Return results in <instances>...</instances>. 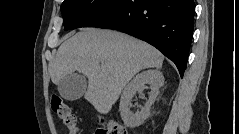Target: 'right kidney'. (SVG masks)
Returning a JSON list of instances; mask_svg holds the SVG:
<instances>
[{"instance_id": "1", "label": "right kidney", "mask_w": 239, "mask_h": 134, "mask_svg": "<svg viewBox=\"0 0 239 134\" xmlns=\"http://www.w3.org/2000/svg\"><path fill=\"white\" fill-rule=\"evenodd\" d=\"M164 83V76L160 70H146L137 74L124 88L120 99V114L127 127H137L141 125L150 114V108L155 102L160 87ZM149 84L151 92L145 106L140 111L133 113L130 111V104L134 95L138 92L142 94L145 85Z\"/></svg>"}]
</instances>
